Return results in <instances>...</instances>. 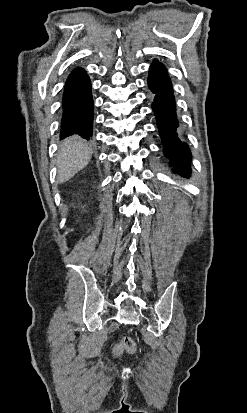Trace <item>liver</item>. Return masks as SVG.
<instances>
[{"instance_id": "1", "label": "liver", "mask_w": 247, "mask_h": 413, "mask_svg": "<svg viewBox=\"0 0 247 413\" xmlns=\"http://www.w3.org/2000/svg\"><path fill=\"white\" fill-rule=\"evenodd\" d=\"M92 148L80 136H68L60 144L57 156L58 182H66L78 170L84 168L91 158Z\"/></svg>"}]
</instances>
